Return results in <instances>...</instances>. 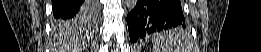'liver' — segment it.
Instances as JSON below:
<instances>
[{
  "label": "liver",
  "mask_w": 261,
  "mask_h": 52,
  "mask_svg": "<svg viewBox=\"0 0 261 52\" xmlns=\"http://www.w3.org/2000/svg\"><path fill=\"white\" fill-rule=\"evenodd\" d=\"M55 27H56L55 32H56L57 35H60V34L63 32V30L69 28V26H67V25H64V26H58L57 24H56Z\"/></svg>",
  "instance_id": "1"
}]
</instances>
